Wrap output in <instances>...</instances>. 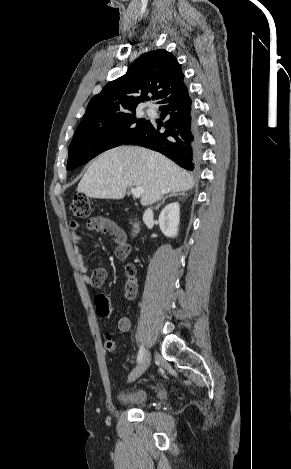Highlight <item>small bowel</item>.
<instances>
[{
	"instance_id": "small-bowel-1",
	"label": "small bowel",
	"mask_w": 291,
	"mask_h": 469,
	"mask_svg": "<svg viewBox=\"0 0 291 469\" xmlns=\"http://www.w3.org/2000/svg\"><path fill=\"white\" fill-rule=\"evenodd\" d=\"M81 228L82 226L79 222L73 221L71 223V229L73 231L71 235V240L73 242V251L75 254L76 265L78 269L82 272L83 280L92 288H99L105 282L108 272H107V269L104 267H98L92 272H89V269L87 265L85 264L84 256H83L81 246H80V236L78 232L81 230ZM86 228L89 231L101 232V233L111 235L116 244V248H115L116 255H117L118 249L125 246L126 233L118 224H116L115 222L109 219H106L100 216L93 217L88 220ZM127 255H125L124 257H121L120 259H125ZM125 293L128 299H132L134 298L136 291L131 295L128 290V286L126 282ZM117 326L120 331L128 332L131 328V322L127 317H121L117 321Z\"/></svg>"
}]
</instances>
